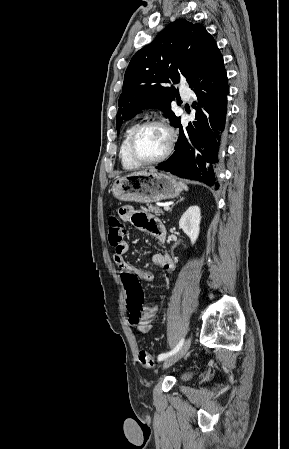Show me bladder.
I'll list each match as a JSON object with an SVG mask.
<instances>
[{
  "instance_id": "obj_1",
  "label": "bladder",
  "mask_w": 289,
  "mask_h": 449,
  "mask_svg": "<svg viewBox=\"0 0 289 449\" xmlns=\"http://www.w3.org/2000/svg\"><path fill=\"white\" fill-rule=\"evenodd\" d=\"M190 376V374H185L183 375V378H188Z\"/></svg>"
}]
</instances>
